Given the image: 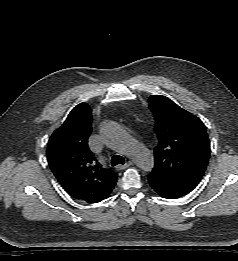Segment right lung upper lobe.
Wrapping results in <instances>:
<instances>
[{
	"label": "right lung upper lobe",
	"mask_w": 238,
	"mask_h": 261,
	"mask_svg": "<svg viewBox=\"0 0 238 261\" xmlns=\"http://www.w3.org/2000/svg\"><path fill=\"white\" fill-rule=\"evenodd\" d=\"M91 108L80 103L54 131L47 144L49 166L65 191L88 203L106 198L117 181V174L98 163L88 147Z\"/></svg>",
	"instance_id": "1"
}]
</instances>
